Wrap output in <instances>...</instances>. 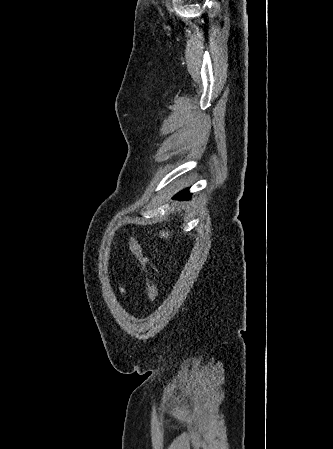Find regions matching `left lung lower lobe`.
Here are the masks:
<instances>
[{
  "label": "left lung lower lobe",
  "mask_w": 333,
  "mask_h": 449,
  "mask_svg": "<svg viewBox=\"0 0 333 449\" xmlns=\"http://www.w3.org/2000/svg\"><path fill=\"white\" fill-rule=\"evenodd\" d=\"M190 193L188 191V189L183 190L182 192H179L178 194H176L173 198H177V199H187L190 197Z\"/></svg>",
  "instance_id": "1"
}]
</instances>
